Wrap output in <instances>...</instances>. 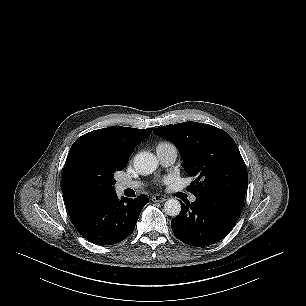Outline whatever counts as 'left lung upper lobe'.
I'll return each mask as SVG.
<instances>
[{
	"label": "left lung upper lobe",
	"mask_w": 306,
	"mask_h": 306,
	"mask_svg": "<svg viewBox=\"0 0 306 306\" xmlns=\"http://www.w3.org/2000/svg\"><path fill=\"white\" fill-rule=\"evenodd\" d=\"M177 146L187 173L196 179L187 187L195 196L226 195L244 199L248 173L229 134L209 124L184 122L154 129Z\"/></svg>",
	"instance_id": "1"
}]
</instances>
